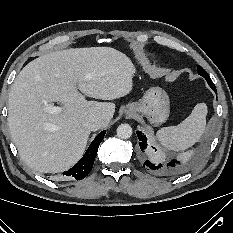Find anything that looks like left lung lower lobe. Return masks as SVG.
I'll list each match as a JSON object with an SVG mask.
<instances>
[{
    "instance_id": "left-lung-lower-lobe-1",
    "label": "left lung lower lobe",
    "mask_w": 233,
    "mask_h": 233,
    "mask_svg": "<svg viewBox=\"0 0 233 233\" xmlns=\"http://www.w3.org/2000/svg\"><path fill=\"white\" fill-rule=\"evenodd\" d=\"M201 76L207 80L209 86L212 88V90H214V92H216V87L213 84L212 80L210 79L209 75L206 73ZM136 133H137L138 139L140 140L139 142L140 149L142 152H145V150L147 149V138L140 131H137ZM152 148L154 149V147ZM154 153H156V149H154ZM147 154H148V159L144 162V167L150 170L163 173L166 171H171V169L175 167L174 162H169L168 164L164 166L162 163L155 161V157L153 154H149V152Z\"/></svg>"
}]
</instances>
